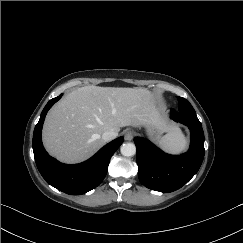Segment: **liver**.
<instances>
[{
	"label": "liver",
	"mask_w": 243,
	"mask_h": 243,
	"mask_svg": "<svg viewBox=\"0 0 243 243\" xmlns=\"http://www.w3.org/2000/svg\"><path fill=\"white\" fill-rule=\"evenodd\" d=\"M154 112V99L143 88L84 86L67 94L48 112L42 131L48 153L65 163L86 160L105 141L102 134L140 127Z\"/></svg>",
	"instance_id": "liver-1"
}]
</instances>
